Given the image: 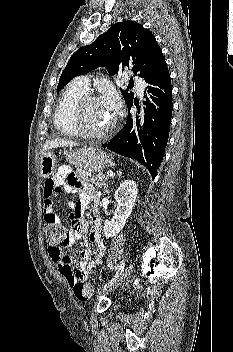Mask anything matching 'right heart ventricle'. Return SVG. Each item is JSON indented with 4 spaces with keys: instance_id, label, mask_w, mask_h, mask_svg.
Returning <instances> with one entry per match:
<instances>
[{
    "instance_id": "1",
    "label": "right heart ventricle",
    "mask_w": 233,
    "mask_h": 352,
    "mask_svg": "<svg viewBox=\"0 0 233 352\" xmlns=\"http://www.w3.org/2000/svg\"><path fill=\"white\" fill-rule=\"evenodd\" d=\"M86 90L75 82L70 83L64 90L54 113V124L57 130L68 137H76L78 133L72 124V111L78 99Z\"/></svg>"
}]
</instances>
